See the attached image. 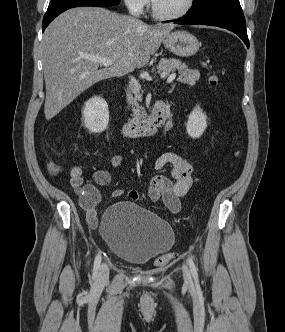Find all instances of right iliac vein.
<instances>
[{"label":"right iliac vein","instance_id":"obj_1","mask_svg":"<svg viewBox=\"0 0 285 332\" xmlns=\"http://www.w3.org/2000/svg\"><path fill=\"white\" fill-rule=\"evenodd\" d=\"M108 279H109V267L106 263H102L99 268L97 276V284L99 285L105 284L108 281Z\"/></svg>","mask_w":285,"mask_h":332}]
</instances>
